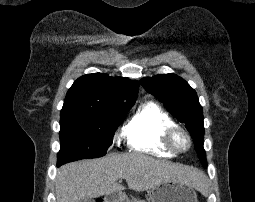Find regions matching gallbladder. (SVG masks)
Returning a JSON list of instances; mask_svg holds the SVG:
<instances>
[{
    "instance_id": "obj_1",
    "label": "gallbladder",
    "mask_w": 255,
    "mask_h": 202,
    "mask_svg": "<svg viewBox=\"0 0 255 202\" xmlns=\"http://www.w3.org/2000/svg\"><path fill=\"white\" fill-rule=\"evenodd\" d=\"M81 202H93L91 198H84Z\"/></svg>"
}]
</instances>
